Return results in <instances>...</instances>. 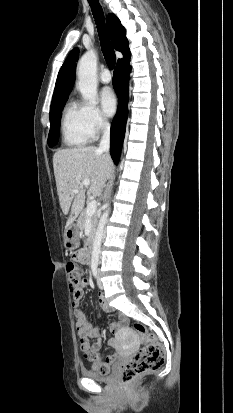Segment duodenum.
Masks as SVG:
<instances>
[{
	"label": "duodenum",
	"instance_id": "duodenum-1",
	"mask_svg": "<svg viewBox=\"0 0 233 413\" xmlns=\"http://www.w3.org/2000/svg\"><path fill=\"white\" fill-rule=\"evenodd\" d=\"M93 242H94L93 237H90L85 246V257L91 253L92 248H93Z\"/></svg>",
	"mask_w": 233,
	"mask_h": 413
}]
</instances>
